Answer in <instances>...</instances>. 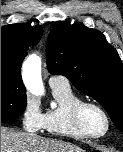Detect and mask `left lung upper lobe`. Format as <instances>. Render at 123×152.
<instances>
[{"label":"left lung upper lobe","mask_w":123,"mask_h":152,"mask_svg":"<svg viewBox=\"0 0 123 152\" xmlns=\"http://www.w3.org/2000/svg\"><path fill=\"white\" fill-rule=\"evenodd\" d=\"M46 58L51 74L66 76L79 91L93 97L123 131V65L100 31L57 22L48 37Z\"/></svg>","instance_id":"obj_1"}]
</instances>
